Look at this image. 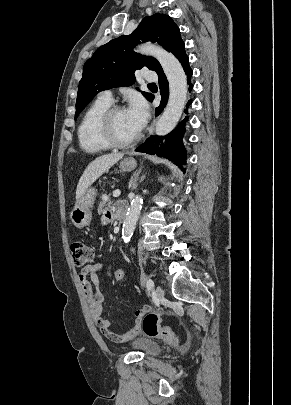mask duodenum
Segmentation results:
<instances>
[{
	"label": "duodenum",
	"instance_id": "1",
	"mask_svg": "<svg viewBox=\"0 0 291 405\" xmlns=\"http://www.w3.org/2000/svg\"><path fill=\"white\" fill-rule=\"evenodd\" d=\"M126 209L127 208L125 205H121L117 209V217L121 222L124 221L126 218Z\"/></svg>",
	"mask_w": 291,
	"mask_h": 405
}]
</instances>
